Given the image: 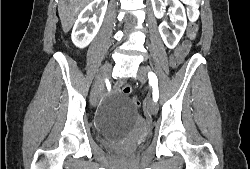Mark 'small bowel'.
<instances>
[{
    "instance_id": "small-bowel-1",
    "label": "small bowel",
    "mask_w": 250,
    "mask_h": 169,
    "mask_svg": "<svg viewBox=\"0 0 250 169\" xmlns=\"http://www.w3.org/2000/svg\"><path fill=\"white\" fill-rule=\"evenodd\" d=\"M189 49V45L188 44H184L182 45L177 51H176V56L178 57V60L180 61L188 52ZM124 84L123 81H118L117 82V87H121Z\"/></svg>"
}]
</instances>
